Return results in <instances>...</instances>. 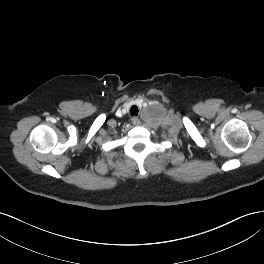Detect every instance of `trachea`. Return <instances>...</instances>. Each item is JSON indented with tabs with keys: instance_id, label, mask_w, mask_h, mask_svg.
<instances>
[{
	"instance_id": "obj_1",
	"label": "trachea",
	"mask_w": 264,
	"mask_h": 264,
	"mask_svg": "<svg viewBox=\"0 0 264 264\" xmlns=\"http://www.w3.org/2000/svg\"><path fill=\"white\" fill-rule=\"evenodd\" d=\"M130 114H131V116H137L138 115V107L137 106H132L131 108H130Z\"/></svg>"
}]
</instances>
